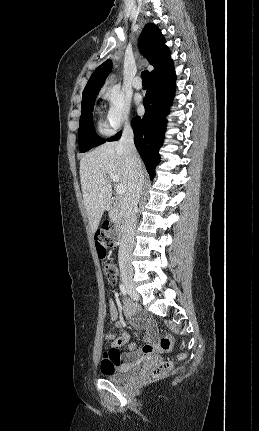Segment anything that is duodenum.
Segmentation results:
<instances>
[{
  "label": "duodenum",
  "mask_w": 259,
  "mask_h": 431,
  "mask_svg": "<svg viewBox=\"0 0 259 431\" xmlns=\"http://www.w3.org/2000/svg\"><path fill=\"white\" fill-rule=\"evenodd\" d=\"M120 201L118 199H112L109 201V203L107 204V210L108 211H118L120 208ZM124 233H125V225L122 222L118 233H117V244L120 245L122 243V239L124 237Z\"/></svg>",
  "instance_id": "410a0bca"
}]
</instances>
